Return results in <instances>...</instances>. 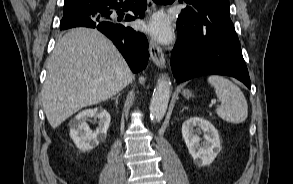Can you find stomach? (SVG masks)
<instances>
[{
    "label": "stomach",
    "instance_id": "obj_1",
    "mask_svg": "<svg viewBox=\"0 0 293 184\" xmlns=\"http://www.w3.org/2000/svg\"><path fill=\"white\" fill-rule=\"evenodd\" d=\"M183 96L184 97H191L192 96V93L189 90H184L183 91Z\"/></svg>",
    "mask_w": 293,
    "mask_h": 184
}]
</instances>
